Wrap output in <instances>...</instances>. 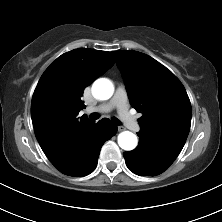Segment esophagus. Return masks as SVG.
Wrapping results in <instances>:
<instances>
[{
  "instance_id": "34e87169",
  "label": "esophagus",
  "mask_w": 222,
  "mask_h": 222,
  "mask_svg": "<svg viewBox=\"0 0 222 222\" xmlns=\"http://www.w3.org/2000/svg\"><path fill=\"white\" fill-rule=\"evenodd\" d=\"M123 130H125V128H124L123 126H118V131H119V132H121V131H123Z\"/></svg>"
}]
</instances>
